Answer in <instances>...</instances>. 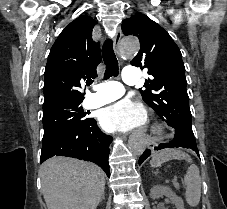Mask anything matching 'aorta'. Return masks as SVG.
Returning <instances> with one entry per match:
<instances>
[{"label":"aorta","instance_id":"1","mask_svg":"<svg viewBox=\"0 0 227 209\" xmlns=\"http://www.w3.org/2000/svg\"><path fill=\"white\" fill-rule=\"evenodd\" d=\"M139 48L140 45L137 38L127 37L121 41L119 52L122 57H131L138 52ZM144 148L145 142L142 138L134 139L130 143V150L136 156H140L143 153Z\"/></svg>","mask_w":227,"mask_h":209}]
</instances>
